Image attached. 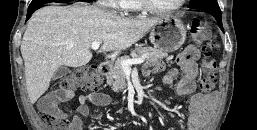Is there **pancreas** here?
<instances>
[{
	"label": "pancreas",
	"instance_id": "1",
	"mask_svg": "<svg viewBox=\"0 0 257 130\" xmlns=\"http://www.w3.org/2000/svg\"><path fill=\"white\" fill-rule=\"evenodd\" d=\"M131 54L136 57H143L150 65L158 63L168 55L167 52L152 47H136ZM129 59L131 58L128 55L117 59L107 76V84L112 86L114 92H119L126 88V75L122 69L121 61Z\"/></svg>",
	"mask_w": 257,
	"mask_h": 130
}]
</instances>
